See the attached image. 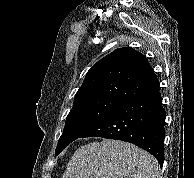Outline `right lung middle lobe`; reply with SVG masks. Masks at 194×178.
I'll use <instances>...</instances> for the list:
<instances>
[{"mask_svg":"<svg viewBox=\"0 0 194 178\" xmlns=\"http://www.w3.org/2000/svg\"><path fill=\"white\" fill-rule=\"evenodd\" d=\"M124 102L115 99L90 98L74 101L55 154L58 155L71 142L79 138L93 125L117 109Z\"/></svg>","mask_w":194,"mask_h":178,"instance_id":"dd1d6c3e","label":"right lung middle lobe"}]
</instances>
